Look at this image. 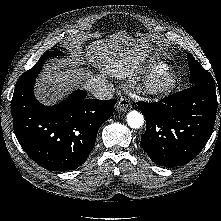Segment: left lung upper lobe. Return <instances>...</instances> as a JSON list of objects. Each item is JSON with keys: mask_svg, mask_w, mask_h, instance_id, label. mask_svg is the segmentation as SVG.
Returning a JSON list of instances; mask_svg holds the SVG:
<instances>
[{"mask_svg": "<svg viewBox=\"0 0 221 221\" xmlns=\"http://www.w3.org/2000/svg\"><path fill=\"white\" fill-rule=\"evenodd\" d=\"M187 58L190 69L191 85H199L209 91L216 93V88L211 74L207 70H205L201 66V64L198 61H196L190 54H187Z\"/></svg>", "mask_w": 221, "mask_h": 221, "instance_id": "left-lung-upper-lobe-1", "label": "left lung upper lobe"}]
</instances>
